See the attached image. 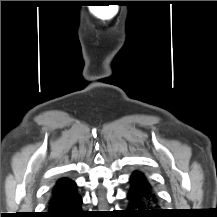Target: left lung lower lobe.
I'll return each instance as SVG.
<instances>
[{"instance_id": "left-lung-lower-lobe-1", "label": "left lung lower lobe", "mask_w": 217, "mask_h": 217, "mask_svg": "<svg viewBox=\"0 0 217 217\" xmlns=\"http://www.w3.org/2000/svg\"><path fill=\"white\" fill-rule=\"evenodd\" d=\"M131 186L127 193L129 217H163L157 196L146 177L141 172H134L130 179Z\"/></svg>"}]
</instances>
